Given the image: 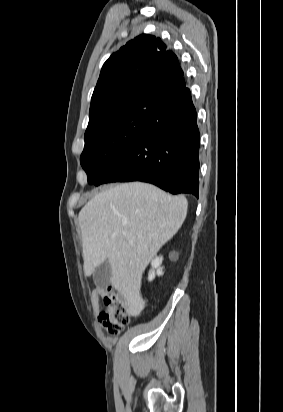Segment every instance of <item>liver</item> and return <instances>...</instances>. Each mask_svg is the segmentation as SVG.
Instances as JSON below:
<instances>
[{"mask_svg": "<svg viewBox=\"0 0 283 412\" xmlns=\"http://www.w3.org/2000/svg\"><path fill=\"white\" fill-rule=\"evenodd\" d=\"M184 196H171L146 183L111 186L79 212L84 273L91 276L109 260L112 286L125 299L126 312L139 314L145 301L142 274L160 248L181 228L187 216Z\"/></svg>", "mask_w": 283, "mask_h": 412, "instance_id": "1", "label": "liver"}]
</instances>
